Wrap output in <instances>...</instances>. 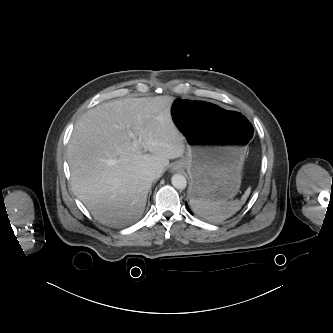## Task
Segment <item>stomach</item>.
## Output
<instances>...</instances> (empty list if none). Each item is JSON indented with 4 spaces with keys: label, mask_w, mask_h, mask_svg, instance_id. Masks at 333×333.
I'll use <instances>...</instances> for the list:
<instances>
[{
    "label": "stomach",
    "mask_w": 333,
    "mask_h": 333,
    "mask_svg": "<svg viewBox=\"0 0 333 333\" xmlns=\"http://www.w3.org/2000/svg\"><path fill=\"white\" fill-rule=\"evenodd\" d=\"M170 112L191 157L189 197L205 201L235 197L245 145L254 131L249 121L235 109L202 99H176Z\"/></svg>",
    "instance_id": "1"
}]
</instances>
